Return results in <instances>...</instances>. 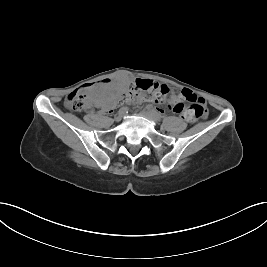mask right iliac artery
I'll use <instances>...</instances> for the list:
<instances>
[{
	"mask_svg": "<svg viewBox=\"0 0 267 267\" xmlns=\"http://www.w3.org/2000/svg\"><path fill=\"white\" fill-rule=\"evenodd\" d=\"M119 113H120V114H126V113H128V108H127V107H122V108L119 110Z\"/></svg>",
	"mask_w": 267,
	"mask_h": 267,
	"instance_id": "1",
	"label": "right iliac artery"
}]
</instances>
